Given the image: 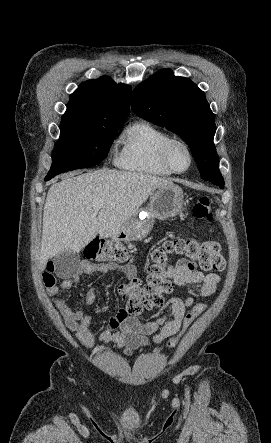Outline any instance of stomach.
<instances>
[{"label":"stomach","mask_w":271,"mask_h":443,"mask_svg":"<svg viewBox=\"0 0 271 443\" xmlns=\"http://www.w3.org/2000/svg\"><path fill=\"white\" fill-rule=\"evenodd\" d=\"M184 204V196L179 186L169 184L159 188L156 194L150 198L149 208L141 210L138 218H129L123 231L112 235L115 241H138L144 239L150 233L155 218L166 220L175 218L181 212Z\"/></svg>","instance_id":"obj_1"}]
</instances>
